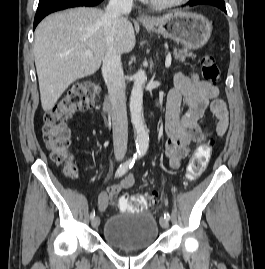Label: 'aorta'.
<instances>
[{"mask_svg":"<svg viewBox=\"0 0 265 269\" xmlns=\"http://www.w3.org/2000/svg\"><path fill=\"white\" fill-rule=\"evenodd\" d=\"M146 79L145 71L138 70L130 96L131 122L135 128L136 151L139 157L144 156L149 147V135L143 117V87Z\"/></svg>","mask_w":265,"mask_h":269,"instance_id":"1","label":"aorta"}]
</instances>
